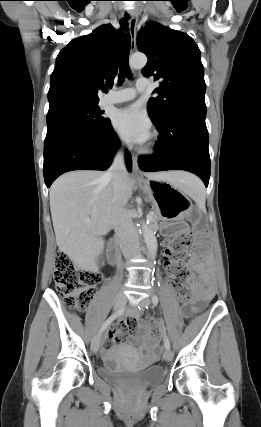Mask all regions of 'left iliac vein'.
<instances>
[{
  "label": "left iliac vein",
  "mask_w": 261,
  "mask_h": 427,
  "mask_svg": "<svg viewBox=\"0 0 261 427\" xmlns=\"http://www.w3.org/2000/svg\"><path fill=\"white\" fill-rule=\"evenodd\" d=\"M138 305L140 306V308H141L142 310H144V309L146 308V306H149V305H150V299H149V298L142 299V300L139 302V304H138ZM163 358H164L166 361H171V360L173 359V352H172V350H170V349H166V350H165V352H164V354H163Z\"/></svg>",
  "instance_id": "left-iliac-vein-1"
}]
</instances>
